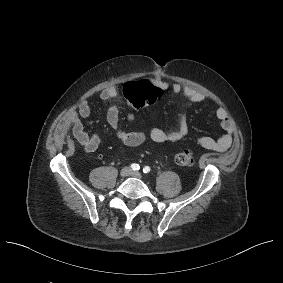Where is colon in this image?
<instances>
[{
  "instance_id": "1",
  "label": "colon",
  "mask_w": 283,
  "mask_h": 283,
  "mask_svg": "<svg viewBox=\"0 0 283 283\" xmlns=\"http://www.w3.org/2000/svg\"><path fill=\"white\" fill-rule=\"evenodd\" d=\"M162 94V89L146 80L129 82L124 87V96L133 109L155 103L162 97ZM173 162L180 168L191 166L194 162L191 150L185 149L176 153Z\"/></svg>"
}]
</instances>
